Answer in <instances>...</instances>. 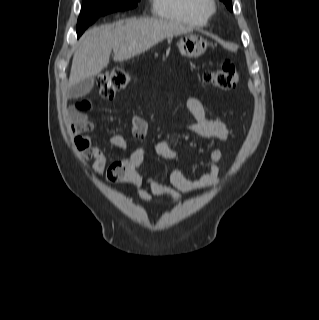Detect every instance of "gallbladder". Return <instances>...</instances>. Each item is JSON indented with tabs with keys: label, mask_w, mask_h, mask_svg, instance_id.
I'll return each mask as SVG.
<instances>
[{
	"label": "gallbladder",
	"mask_w": 319,
	"mask_h": 320,
	"mask_svg": "<svg viewBox=\"0 0 319 320\" xmlns=\"http://www.w3.org/2000/svg\"><path fill=\"white\" fill-rule=\"evenodd\" d=\"M93 86H94L93 77L84 79L81 82L69 88L67 95L69 98H78V97L85 96L92 90Z\"/></svg>",
	"instance_id": "bac80fb5"
}]
</instances>
